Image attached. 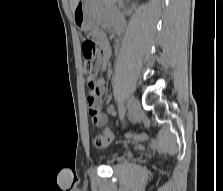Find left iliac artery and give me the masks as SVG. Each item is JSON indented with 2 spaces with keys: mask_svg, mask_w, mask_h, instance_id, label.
I'll return each instance as SVG.
<instances>
[{
  "mask_svg": "<svg viewBox=\"0 0 223 191\" xmlns=\"http://www.w3.org/2000/svg\"><path fill=\"white\" fill-rule=\"evenodd\" d=\"M118 109H119V117L121 120H123L125 111H126L125 105H124V98L119 100Z\"/></svg>",
  "mask_w": 223,
  "mask_h": 191,
  "instance_id": "1",
  "label": "left iliac artery"
}]
</instances>
